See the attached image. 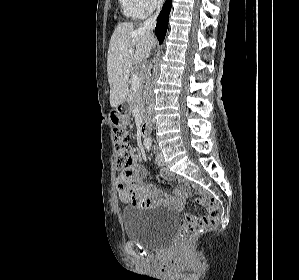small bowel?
I'll return each mask as SVG.
<instances>
[{
    "mask_svg": "<svg viewBox=\"0 0 299 280\" xmlns=\"http://www.w3.org/2000/svg\"><path fill=\"white\" fill-rule=\"evenodd\" d=\"M138 160V155L132 156L128 167H120V174L116 179L120 200L139 208L167 206L174 210H181L186 198L190 195L187 183L182 181L180 188L167 196L159 188L144 181L146 171ZM160 178L168 181L173 178V174L169 171H162Z\"/></svg>",
    "mask_w": 299,
    "mask_h": 280,
    "instance_id": "small-bowel-1",
    "label": "small bowel"
}]
</instances>
